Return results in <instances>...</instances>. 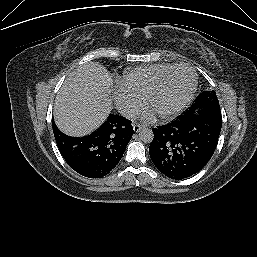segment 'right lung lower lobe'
<instances>
[{
  "instance_id": "obj_1",
  "label": "right lung lower lobe",
  "mask_w": 257,
  "mask_h": 257,
  "mask_svg": "<svg viewBox=\"0 0 257 257\" xmlns=\"http://www.w3.org/2000/svg\"><path fill=\"white\" fill-rule=\"evenodd\" d=\"M131 123L122 116L110 114L103 125L88 136H67L54 122L53 133L61 155L73 170L88 178H101L122 158L134 132Z\"/></svg>"
}]
</instances>
